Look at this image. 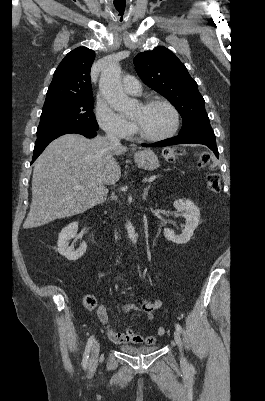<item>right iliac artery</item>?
<instances>
[{"instance_id": "obj_1", "label": "right iliac artery", "mask_w": 265, "mask_h": 401, "mask_svg": "<svg viewBox=\"0 0 265 401\" xmlns=\"http://www.w3.org/2000/svg\"><path fill=\"white\" fill-rule=\"evenodd\" d=\"M94 340H95L94 339V335H92V336H90V338L87 341L85 352H84V355H83V360H82V366H83L84 369H86L88 367L89 353H90V350L92 348Z\"/></svg>"}]
</instances>
